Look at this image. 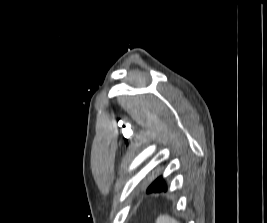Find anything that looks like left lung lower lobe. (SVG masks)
Instances as JSON below:
<instances>
[{"label":"left lung lower lobe","instance_id":"0a47b994","mask_svg":"<svg viewBox=\"0 0 267 223\" xmlns=\"http://www.w3.org/2000/svg\"><path fill=\"white\" fill-rule=\"evenodd\" d=\"M173 178L168 177L167 173H162L161 177L156 179L148 188V195H159L163 194V190H170V187H176L177 183L172 182Z\"/></svg>","mask_w":267,"mask_h":223}]
</instances>
